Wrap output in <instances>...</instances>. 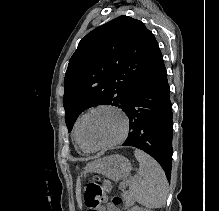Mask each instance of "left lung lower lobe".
<instances>
[{
    "label": "left lung lower lobe",
    "mask_w": 219,
    "mask_h": 211,
    "mask_svg": "<svg viewBox=\"0 0 219 211\" xmlns=\"http://www.w3.org/2000/svg\"><path fill=\"white\" fill-rule=\"evenodd\" d=\"M163 59L132 92L124 112L129 118V134L124 146H133L152 156L171 177L172 104Z\"/></svg>",
    "instance_id": "obj_1"
}]
</instances>
